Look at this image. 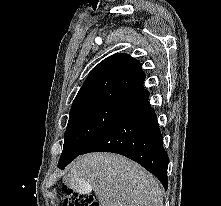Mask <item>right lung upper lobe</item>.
<instances>
[{"instance_id": "right-lung-upper-lobe-1", "label": "right lung upper lobe", "mask_w": 221, "mask_h": 206, "mask_svg": "<svg viewBox=\"0 0 221 206\" xmlns=\"http://www.w3.org/2000/svg\"><path fill=\"white\" fill-rule=\"evenodd\" d=\"M144 80L138 60L122 53L109 56L87 76L71 110L92 105L128 108L149 94L143 87Z\"/></svg>"}]
</instances>
